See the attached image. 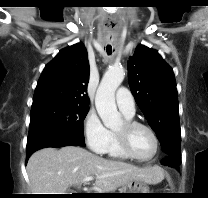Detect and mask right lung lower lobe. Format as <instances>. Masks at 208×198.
<instances>
[{"label":"right lung lower lobe","instance_id":"obj_1","mask_svg":"<svg viewBox=\"0 0 208 198\" xmlns=\"http://www.w3.org/2000/svg\"><path fill=\"white\" fill-rule=\"evenodd\" d=\"M85 146L84 140L65 132H48L28 138L26 146V161L36 150L46 147Z\"/></svg>","mask_w":208,"mask_h":198}]
</instances>
